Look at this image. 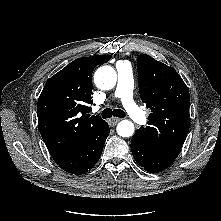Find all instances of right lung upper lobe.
<instances>
[{"label": "right lung upper lobe", "instance_id": "right-lung-upper-lobe-1", "mask_svg": "<svg viewBox=\"0 0 221 221\" xmlns=\"http://www.w3.org/2000/svg\"><path fill=\"white\" fill-rule=\"evenodd\" d=\"M110 55L78 58L45 84L37 103L38 127L53 159H58L105 123L90 117L92 72Z\"/></svg>", "mask_w": 221, "mask_h": 221}]
</instances>
